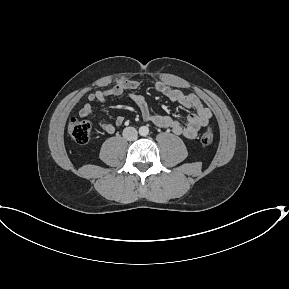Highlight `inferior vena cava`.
I'll return each mask as SVG.
<instances>
[{"instance_id": "1", "label": "inferior vena cava", "mask_w": 289, "mask_h": 289, "mask_svg": "<svg viewBox=\"0 0 289 289\" xmlns=\"http://www.w3.org/2000/svg\"><path fill=\"white\" fill-rule=\"evenodd\" d=\"M138 132L134 127H126L123 130V137L128 141H133L137 138Z\"/></svg>"}]
</instances>
